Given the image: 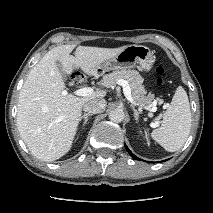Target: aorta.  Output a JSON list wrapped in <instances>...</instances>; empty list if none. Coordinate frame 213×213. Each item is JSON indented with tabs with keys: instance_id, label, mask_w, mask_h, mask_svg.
I'll return each mask as SVG.
<instances>
[{
	"instance_id": "762f6f07",
	"label": "aorta",
	"mask_w": 213,
	"mask_h": 213,
	"mask_svg": "<svg viewBox=\"0 0 213 213\" xmlns=\"http://www.w3.org/2000/svg\"><path fill=\"white\" fill-rule=\"evenodd\" d=\"M124 118H125V113L120 108L113 109L109 113V119L112 122L120 123V122H122L124 120Z\"/></svg>"
}]
</instances>
